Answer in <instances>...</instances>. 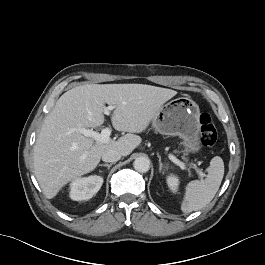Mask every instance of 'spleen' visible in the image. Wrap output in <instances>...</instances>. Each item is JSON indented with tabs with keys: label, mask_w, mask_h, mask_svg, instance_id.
<instances>
[{
	"label": "spleen",
	"mask_w": 265,
	"mask_h": 265,
	"mask_svg": "<svg viewBox=\"0 0 265 265\" xmlns=\"http://www.w3.org/2000/svg\"><path fill=\"white\" fill-rule=\"evenodd\" d=\"M207 172L208 175L204 180H193L187 184L181 203L182 212L190 213L200 210L212 201L224 176L222 158L219 156L213 157Z\"/></svg>",
	"instance_id": "1"
}]
</instances>
